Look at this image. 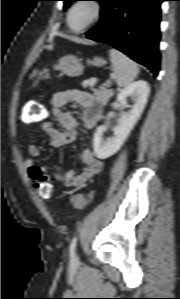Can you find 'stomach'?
<instances>
[{"instance_id": "obj_1", "label": "stomach", "mask_w": 180, "mask_h": 299, "mask_svg": "<svg viewBox=\"0 0 180 299\" xmlns=\"http://www.w3.org/2000/svg\"><path fill=\"white\" fill-rule=\"evenodd\" d=\"M94 66H103L105 64L104 59L100 57H95L92 61ZM57 69L60 70L63 74L68 76H79L83 72V65L81 59L77 58L74 55H66L59 59L57 64ZM47 78V70L39 71L34 69L30 75V79H34L35 82L42 81Z\"/></svg>"}]
</instances>
